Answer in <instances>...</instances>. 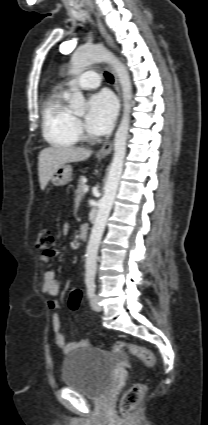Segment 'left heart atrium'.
<instances>
[{
	"instance_id": "39dd6f15",
	"label": "left heart atrium",
	"mask_w": 208,
	"mask_h": 425,
	"mask_svg": "<svg viewBox=\"0 0 208 425\" xmlns=\"http://www.w3.org/2000/svg\"><path fill=\"white\" fill-rule=\"evenodd\" d=\"M116 114L117 103L110 93L94 94L88 103L85 119L86 129L93 135H105L111 130Z\"/></svg>"
}]
</instances>
